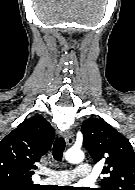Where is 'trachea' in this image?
<instances>
[{
	"label": "trachea",
	"instance_id": "trachea-1",
	"mask_svg": "<svg viewBox=\"0 0 135 190\" xmlns=\"http://www.w3.org/2000/svg\"><path fill=\"white\" fill-rule=\"evenodd\" d=\"M65 149V141L64 138H57L53 145V157L57 161H62L63 152Z\"/></svg>",
	"mask_w": 135,
	"mask_h": 190
}]
</instances>
